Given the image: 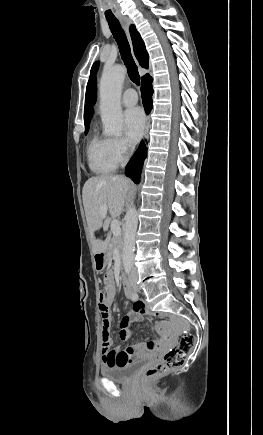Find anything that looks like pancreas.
<instances>
[{"instance_id": "cf45deb5", "label": "pancreas", "mask_w": 263, "mask_h": 435, "mask_svg": "<svg viewBox=\"0 0 263 435\" xmlns=\"http://www.w3.org/2000/svg\"><path fill=\"white\" fill-rule=\"evenodd\" d=\"M121 241L122 240H121V235L120 234L119 235H113V237L111 239V243H110L109 249H108L110 255H112L113 250L115 248L120 249V247H121Z\"/></svg>"}]
</instances>
